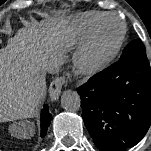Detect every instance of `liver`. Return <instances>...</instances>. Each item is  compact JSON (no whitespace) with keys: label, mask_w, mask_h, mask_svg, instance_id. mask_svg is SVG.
I'll return each mask as SVG.
<instances>
[{"label":"liver","mask_w":151,"mask_h":151,"mask_svg":"<svg viewBox=\"0 0 151 151\" xmlns=\"http://www.w3.org/2000/svg\"><path fill=\"white\" fill-rule=\"evenodd\" d=\"M21 28L0 49V122L32 117L46 90L45 63H63L65 50L75 44V32L63 19ZM31 129L28 137L33 136Z\"/></svg>","instance_id":"obj_1"}]
</instances>
